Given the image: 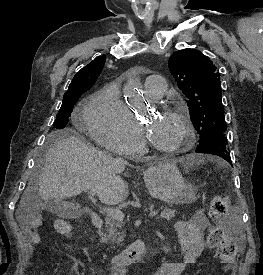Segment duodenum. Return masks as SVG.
Wrapping results in <instances>:
<instances>
[{"label": "duodenum", "instance_id": "410a0bca", "mask_svg": "<svg viewBox=\"0 0 263 275\" xmlns=\"http://www.w3.org/2000/svg\"><path fill=\"white\" fill-rule=\"evenodd\" d=\"M91 220L96 228H101L103 219L97 213L91 214ZM146 253L145 244L142 240H136L127 249L115 255L111 259L113 268L124 272L126 267L135 263H139Z\"/></svg>", "mask_w": 263, "mask_h": 275}]
</instances>
